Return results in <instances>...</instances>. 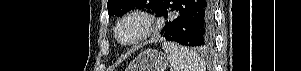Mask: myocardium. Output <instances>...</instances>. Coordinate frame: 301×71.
Returning a JSON list of instances; mask_svg holds the SVG:
<instances>
[{
    "label": "myocardium",
    "instance_id": "1",
    "mask_svg": "<svg viewBox=\"0 0 301 71\" xmlns=\"http://www.w3.org/2000/svg\"><path fill=\"white\" fill-rule=\"evenodd\" d=\"M129 21H137L139 22L141 28L139 33L129 41H124L120 37V29L121 27L129 22ZM156 29V20L153 15L146 11L135 10L123 15L116 24L114 35L116 41L126 47L136 46L143 40L147 39Z\"/></svg>",
    "mask_w": 301,
    "mask_h": 71
}]
</instances>
